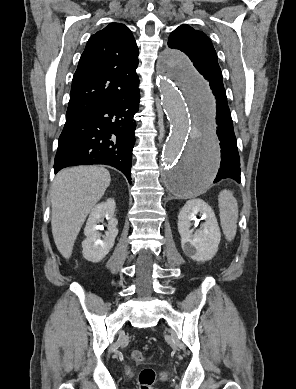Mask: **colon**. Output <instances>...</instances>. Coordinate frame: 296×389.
Here are the masks:
<instances>
[{"mask_svg": "<svg viewBox=\"0 0 296 389\" xmlns=\"http://www.w3.org/2000/svg\"><path fill=\"white\" fill-rule=\"evenodd\" d=\"M131 357L137 362H144L146 360L143 353L139 350H133ZM156 380V372L152 368H144L140 371L138 376L139 389H153Z\"/></svg>", "mask_w": 296, "mask_h": 389, "instance_id": "1", "label": "colon"}]
</instances>
